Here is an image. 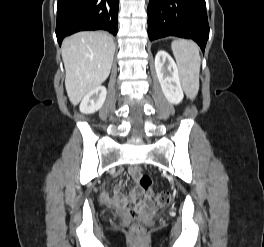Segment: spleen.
Returning a JSON list of instances; mask_svg holds the SVG:
<instances>
[{
  "label": "spleen",
  "instance_id": "1",
  "mask_svg": "<svg viewBox=\"0 0 264 247\" xmlns=\"http://www.w3.org/2000/svg\"><path fill=\"white\" fill-rule=\"evenodd\" d=\"M172 51L177 62L183 89L189 98L196 97L199 90L201 59L199 47L192 41L175 40Z\"/></svg>",
  "mask_w": 264,
  "mask_h": 247
}]
</instances>
